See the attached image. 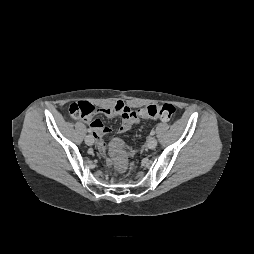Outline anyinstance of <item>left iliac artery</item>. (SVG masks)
<instances>
[{
    "mask_svg": "<svg viewBox=\"0 0 254 254\" xmlns=\"http://www.w3.org/2000/svg\"><path fill=\"white\" fill-rule=\"evenodd\" d=\"M155 134V130H151V132H150V135H154Z\"/></svg>",
    "mask_w": 254,
    "mask_h": 254,
    "instance_id": "44dca946",
    "label": "left iliac artery"
}]
</instances>
